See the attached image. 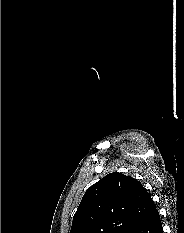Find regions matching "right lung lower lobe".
I'll list each match as a JSON object with an SVG mask.
<instances>
[{"mask_svg": "<svg viewBox=\"0 0 184 233\" xmlns=\"http://www.w3.org/2000/svg\"><path fill=\"white\" fill-rule=\"evenodd\" d=\"M129 233H163V227L158 210L152 211L144 220Z\"/></svg>", "mask_w": 184, "mask_h": 233, "instance_id": "98d812e1", "label": "right lung lower lobe"}]
</instances>
